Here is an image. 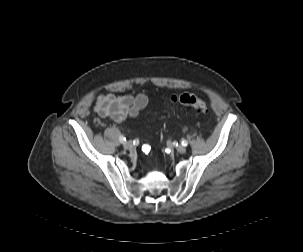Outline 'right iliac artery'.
Segmentation results:
<instances>
[{"mask_svg": "<svg viewBox=\"0 0 303 252\" xmlns=\"http://www.w3.org/2000/svg\"><path fill=\"white\" fill-rule=\"evenodd\" d=\"M119 140L121 143H124L126 141V138L123 135H121Z\"/></svg>", "mask_w": 303, "mask_h": 252, "instance_id": "82829eb1", "label": "right iliac artery"}]
</instances>
